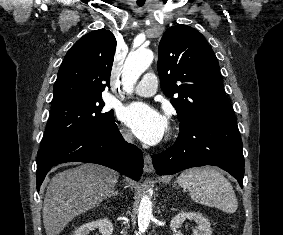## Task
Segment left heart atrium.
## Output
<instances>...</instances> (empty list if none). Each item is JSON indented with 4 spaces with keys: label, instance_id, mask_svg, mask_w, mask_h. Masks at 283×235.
Masks as SVG:
<instances>
[{
    "label": "left heart atrium",
    "instance_id": "left-heart-atrium-1",
    "mask_svg": "<svg viewBox=\"0 0 283 235\" xmlns=\"http://www.w3.org/2000/svg\"><path fill=\"white\" fill-rule=\"evenodd\" d=\"M120 117L147 144L158 143L168 126L166 118L145 103H133L124 107Z\"/></svg>",
    "mask_w": 283,
    "mask_h": 235
}]
</instances>
